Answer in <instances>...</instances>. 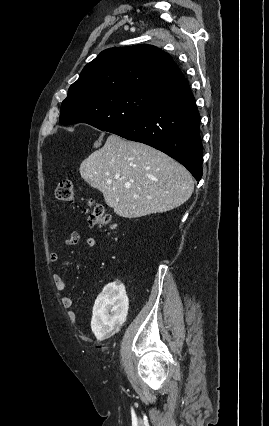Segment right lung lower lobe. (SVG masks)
<instances>
[{
    "instance_id": "98d812e1",
    "label": "right lung lower lobe",
    "mask_w": 269,
    "mask_h": 426,
    "mask_svg": "<svg viewBox=\"0 0 269 426\" xmlns=\"http://www.w3.org/2000/svg\"><path fill=\"white\" fill-rule=\"evenodd\" d=\"M111 133L152 146L184 165L196 180L202 177L200 115L185 78L160 89L143 115Z\"/></svg>"
}]
</instances>
